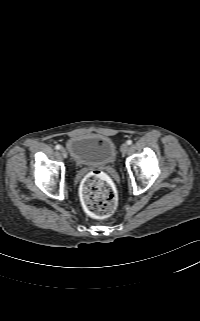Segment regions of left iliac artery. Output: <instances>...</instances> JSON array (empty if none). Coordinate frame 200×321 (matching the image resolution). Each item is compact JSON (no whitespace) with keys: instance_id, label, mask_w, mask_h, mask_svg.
I'll return each instance as SVG.
<instances>
[{"instance_id":"obj_1","label":"left iliac artery","mask_w":200,"mask_h":321,"mask_svg":"<svg viewBox=\"0 0 200 321\" xmlns=\"http://www.w3.org/2000/svg\"><path fill=\"white\" fill-rule=\"evenodd\" d=\"M127 144H128V145H131V144H132V140H128V141H127Z\"/></svg>"}]
</instances>
